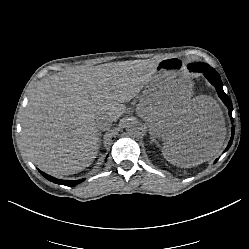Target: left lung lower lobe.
I'll return each mask as SVG.
<instances>
[{"instance_id":"0a47b994","label":"left lung lower lobe","mask_w":249,"mask_h":249,"mask_svg":"<svg viewBox=\"0 0 249 249\" xmlns=\"http://www.w3.org/2000/svg\"><path fill=\"white\" fill-rule=\"evenodd\" d=\"M200 70L204 74V76L208 79V81L212 85H214L219 97L221 98V100L224 102V104L227 106V108L229 110V116L232 117V105H231L230 99L228 98L226 93L223 91V84H222V81H221L219 74L210 66L205 67V68H201ZM231 131H232V136H231V139L227 145V148L224 150V152L227 151L232 144L234 131H235L234 127H232ZM217 160L218 159H216L215 162H217Z\"/></svg>"}]
</instances>
